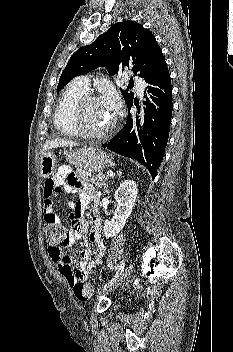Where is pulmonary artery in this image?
I'll return each instance as SVG.
<instances>
[{"mask_svg":"<svg viewBox=\"0 0 233 352\" xmlns=\"http://www.w3.org/2000/svg\"><path fill=\"white\" fill-rule=\"evenodd\" d=\"M134 80L138 85L139 93L142 94L143 93V85H144L143 80L137 76L134 77ZM74 82L77 85H79L80 87L84 88L85 90H88V88H89V79L87 76H79L74 80Z\"/></svg>","mask_w":233,"mask_h":352,"instance_id":"pulmonary-artery-1","label":"pulmonary artery"}]
</instances>
